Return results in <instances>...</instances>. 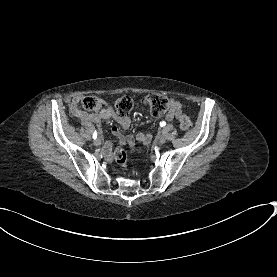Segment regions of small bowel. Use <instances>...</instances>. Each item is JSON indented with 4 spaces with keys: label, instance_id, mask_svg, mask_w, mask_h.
I'll return each instance as SVG.
<instances>
[{
    "label": "small bowel",
    "instance_id": "1",
    "mask_svg": "<svg viewBox=\"0 0 277 277\" xmlns=\"http://www.w3.org/2000/svg\"><path fill=\"white\" fill-rule=\"evenodd\" d=\"M98 101H99V108L96 109L95 112L89 113V112L82 111L79 108V102H80L79 97L73 98L70 104V112L84 122L100 123L103 120L113 119L117 121L121 125V127L125 130L130 127L131 119L129 116L121 117L116 113L115 109L111 105L107 104L104 100L98 99ZM180 115H181V105L179 103H174V106L172 107L170 112L166 115V119L168 121H172V120L178 119ZM112 132L120 140L124 138L122 133L117 128H113ZM137 139L143 144H147L151 140V135L148 133H139L137 135ZM123 143L126 146L133 147L136 144V140L133 137H130V138L126 137L124 138ZM104 152L107 158H109L110 160H113L114 152L112 151L111 138L105 139Z\"/></svg>",
    "mask_w": 277,
    "mask_h": 277
}]
</instances>
